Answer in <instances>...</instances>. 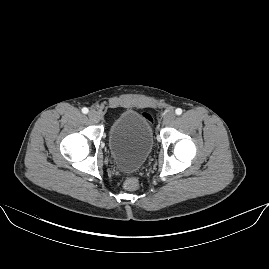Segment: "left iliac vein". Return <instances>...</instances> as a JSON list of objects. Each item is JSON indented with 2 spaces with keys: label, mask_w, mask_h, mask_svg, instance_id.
<instances>
[{
  "label": "left iliac vein",
  "mask_w": 269,
  "mask_h": 269,
  "mask_svg": "<svg viewBox=\"0 0 269 269\" xmlns=\"http://www.w3.org/2000/svg\"><path fill=\"white\" fill-rule=\"evenodd\" d=\"M175 119V113L173 111H167L164 114L163 120L165 125H170L174 122Z\"/></svg>",
  "instance_id": "1"
}]
</instances>
